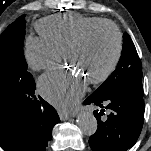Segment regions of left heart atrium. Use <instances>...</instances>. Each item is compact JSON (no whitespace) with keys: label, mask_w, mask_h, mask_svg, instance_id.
I'll list each match as a JSON object with an SVG mask.
<instances>
[{"label":"left heart atrium","mask_w":151,"mask_h":151,"mask_svg":"<svg viewBox=\"0 0 151 151\" xmlns=\"http://www.w3.org/2000/svg\"><path fill=\"white\" fill-rule=\"evenodd\" d=\"M87 79L72 69L56 68L39 79L43 97L60 110L71 109L85 93Z\"/></svg>","instance_id":"1"}]
</instances>
